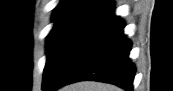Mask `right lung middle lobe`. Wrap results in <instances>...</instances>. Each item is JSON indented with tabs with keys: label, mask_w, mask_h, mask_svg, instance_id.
<instances>
[{
	"label": "right lung middle lobe",
	"mask_w": 173,
	"mask_h": 91,
	"mask_svg": "<svg viewBox=\"0 0 173 91\" xmlns=\"http://www.w3.org/2000/svg\"><path fill=\"white\" fill-rule=\"evenodd\" d=\"M104 5L109 8L113 7V3L109 0ZM83 25V23L68 22L56 24L53 27L47 37V61L44 68L43 82L51 76L57 62Z\"/></svg>",
	"instance_id": "obj_1"
}]
</instances>
